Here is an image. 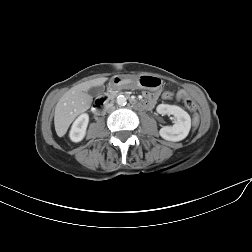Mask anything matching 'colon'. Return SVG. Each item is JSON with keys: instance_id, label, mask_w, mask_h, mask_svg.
I'll return each instance as SVG.
<instances>
[{"instance_id": "obj_1", "label": "colon", "mask_w": 252, "mask_h": 252, "mask_svg": "<svg viewBox=\"0 0 252 252\" xmlns=\"http://www.w3.org/2000/svg\"><path fill=\"white\" fill-rule=\"evenodd\" d=\"M141 84H143V85H151V83L148 80H141ZM163 98L170 100V99L174 98V95L171 92H165L163 94ZM176 98L178 100L182 99L183 102H184V105L186 106V108L188 110H190L191 112H193V125L196 127L199 124V116L196 113V111H197V105L195 104V102L192 99H190L189 97H183L180 94H177Z\"/></svg>"}]
</instances>
